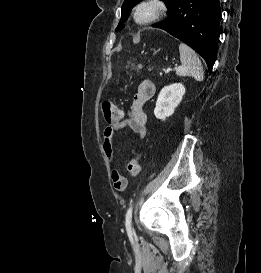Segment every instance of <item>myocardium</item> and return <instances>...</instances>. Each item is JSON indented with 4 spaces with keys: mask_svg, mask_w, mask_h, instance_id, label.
I'll list each match as a JSON object with an SVG mask.
<instances>
[{
    "mask_svg": "<svg viewBox=\"0 0 261 273\" xmlns=\"http://www.w3.org/2000/svg\"><path fill=\"white\" fill-rule=\"evenodd\" d=\"M166 11L163 0H142L134 7L132 17L138 25H149L160 20Z\"/></svg>",
    "mask_w": 261,
    "mask_h": 273,
    "instance_id": "f54148a6",
    "label": "myocardium"
}]
</instances>
